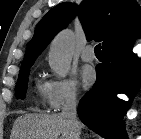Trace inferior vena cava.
Segmentation results:
<instances>
[{
    "mask_svg": "<svg viewBox=\"0 0 141 139\" xmlns=\"http://www.w3.org/2000/svg\"><path fill=\"white\" fill-rule=\"evenodd\" d=\"M62 116L67 119L71 130L72 139H80L81 123L77 119L76 94H67L62 106Z\"/></svg>",
    "mask_w": 141,
    "mask_h": 139,
    "instance_id": "obj_1",
    "label": "inferior vena cava"
}]
</instances>
